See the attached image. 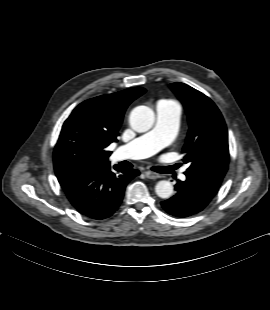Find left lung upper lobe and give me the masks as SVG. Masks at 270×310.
Instances as JSON below:
<instances>
[{
  "label": "left lung upper lobe",
  "instance_id": "1",
  "mask_svg": "<svg viewBox=\"0 0 270 310\" xmlns=\"http://www.w3.org/2000/svg\"><path fill=\"white\" fill-rule=\"evenodd\" d=\"M171 89L183 102L189 132L183 147L185 173L223 179L229 162L228 135L224 119L213 101L198 90L172 83Z\"/></svg>",
  "mask_w": 270,
  "mask_h": 310
}]
</instances>
